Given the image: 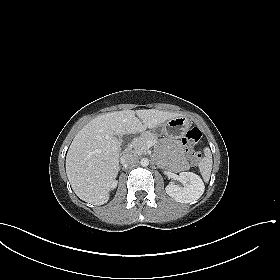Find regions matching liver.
I'll return each instance as SVG.
<instances>
[{
    "label": "liver",
    "instance_id": "liver-1",
    "mask_svg": "<svg viewBox=\"0 0 280 280\" xmlns=\"http://www.w3.org/2000/svg\"><path fill=\"white\" fill-rule=\"evenodd\" d=\"M179 113L156 109L123 110L97 116L74 137L66 156V173L75 194L93 205L109 200L119 171L117 136L156 128Z\"/></svg>",
    "mask_w": 280,
    "mask_h": 280
}]
</instances>
